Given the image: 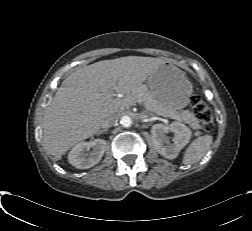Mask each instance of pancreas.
<instances>
[{
    "label": "pancreas",
    "mask_w": 252,
    "mask_h": 231,
    "mask_svg": "<svg viewBox=\"0 0 252 231\" xmlns=\"http://www.w3.org/2000/svg\"><path fill=\"white\" fill-rule=\"evenodd\" d=\"M127 97H129L133 103L138 102L143 104L145 108L152 113L185 122L194 130L201 129L198 118L188 110L182 112H177L175 110H163L145 86L139 87L134 93Z\"/></svg>",
    "instance_id": "obj_1"
}]
</instances>
